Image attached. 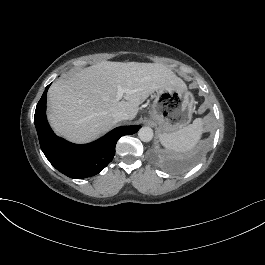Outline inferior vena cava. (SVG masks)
I'll list each match as a JSON object with an SVG mask.
<instances>
[{
	"instance_id": "1",
	"label": "inferior vena cava",
	"mask_w": 265,
	"mask_h": 265,
	"mask_svg": "<svg viewBox=\"0 0 265 265\" xmlns=\"http://www.w3.org/2000/svg\"><path fill=\"white\" fill-rule=\"evenodd\" d=\"M112 117L117 121L128 120L129 114L126 111H116L112 113Z\"/></svg>"
}]
</instances>
